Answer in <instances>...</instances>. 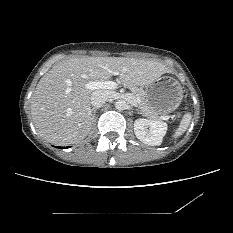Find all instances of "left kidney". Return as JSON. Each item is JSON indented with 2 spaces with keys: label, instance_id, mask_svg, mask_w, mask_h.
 Here are the masks:
<instances>
[{
  "label": "left kidney",
  "instance_id": "5707ae66",
  "mask_svg": "<svg viewBox=\"0 0 233 233\" xmlns=\"http://www.w3.org/2000/svg\"><path fill=\"white\" fill-rule=\"evenodd\" d=\"M134 132L143 143L157 146L162 143L167 132V124L159 120L140 118L134 122Z\"/></svg>",
  "mask_w": 233,
  "mask_h": 233
}]
</instances>
